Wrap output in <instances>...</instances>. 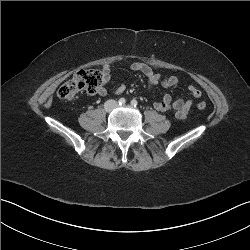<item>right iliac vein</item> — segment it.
<instances>
[{
	"label": "right iliac vein",
	"instance_id": "obj_1",
	"mask_svg": "<svg viewBox=\"0 0 250 250\" xmlns=\"http://www.w3.org/2000/svg\"><path fill=\"white\" fill-rule=\"evenodd\" d=\"M117 103L113 100H110L106 103L105 107L107 111H111L113 108H115Z\"/></svg>",
	"mask_w": 250,
	"mask_h": 250
}]
</instances>
